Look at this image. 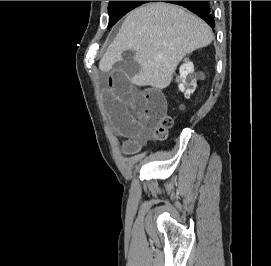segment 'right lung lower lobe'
Instances as JSON below:
<instances>
[{
  "instance_id": "1",
  "label": "right lung lower lobe",
  "mask_w": 271,
  "mask_h": 266,
  "mask_svg": "<svg viewBox=\"0 0 271 266\" xmlns=\"http://www.w3.org/2000/svg\"><path fill=\"white\" fill-rule=\"evenodd\" d=\"M181 5L199 17H201L210 27H215L214 17L212 15L208 1H162Z\"/></svg>"
}]
</instances>
